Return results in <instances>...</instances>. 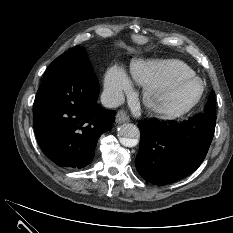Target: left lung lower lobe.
Wrapping results in <instances>:
<instances>
[{"mask_svg":"<svg viewBox=\"0 0 233 233\" xmlns=\"http://www.w3.org/2000/svg\"><path fill=\"white\" fill-rule=\"evenodd\" d=\"M216 116L205 114L179 124L138 123L136 168L147 182L163 186L184 178L203 162L215 132Z\"/></svg>","mask_w":233,"mask_h":233,"instance_id":"0a47b994","label":"left lung lower lobe"}]
</instances>
